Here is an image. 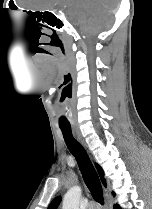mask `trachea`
<instances>
[{"mask_svg":"<svg viewBox=\"0 0 152 209\" xmlns=\"http://www.w3.org/2000/svg\"><path fill=\"white\" fill-rule=\"evenodd\" d=\"M70 152L74 155L79 165L85 184L90 190L93 198L100 204L104 203L103 190L98 177V174L93 167L88 154L80 143H78L72 136L71 127H60Z\"/></svg>","mask_w":152,"mask_h":209,"instance_id":"3493384b","label":"trachea"}]
</instances>
